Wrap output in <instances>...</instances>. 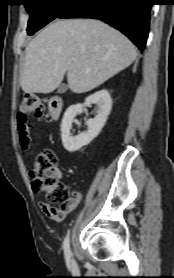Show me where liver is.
<instances>
[{
  "mask_svg": "<svg viewBox=\"0 0 174 278\" xmlns=\"http://www.w3.org/2000/svg\"><path fill=\"white\" fill-rule=\"evenodd\" d=\"M137 56L121 32L95 19L56 20L25 49L24 93L53 92L67 73L73 93H85L130 66Z\"/></svg>",
  "mask_w": 174,
  "mask_h": 278,
  "instance_id": "1",
  "label": "liver"
}]
</instances>
